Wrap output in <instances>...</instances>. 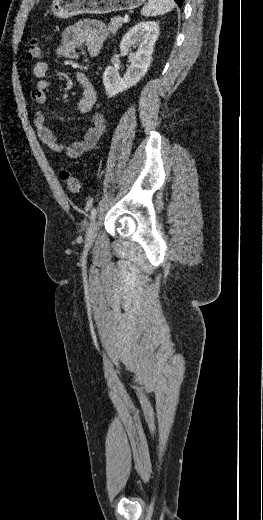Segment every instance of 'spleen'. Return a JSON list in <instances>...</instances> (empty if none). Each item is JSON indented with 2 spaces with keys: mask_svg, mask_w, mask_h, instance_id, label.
Instances as JSON below:
<instances>
[{
  "mask_svg": "<svg viewBox=\"0 0 263 520\" xmlns=\"http://www.w3.org/2000/svg\"><path fill=\"white\" fill-rule=\"evenodd\" d=\"M175 7L174 0H148V3L142 8L143 16H157L170 12Z\"/></svg>",
  "mask_w": 263,
  "mask_h": 520,
  "instance_id": "1",
  "label": "spleen"
}]
</instances>
